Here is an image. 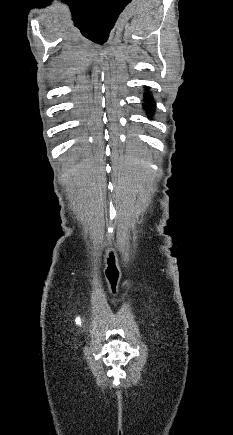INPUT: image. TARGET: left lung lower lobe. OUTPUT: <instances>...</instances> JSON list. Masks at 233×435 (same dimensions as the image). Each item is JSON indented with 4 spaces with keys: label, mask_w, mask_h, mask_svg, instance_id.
Here are the masks:
<instances>
[{
    "label": "left lung lower lobe",
    "mask_w": 233,
    "mask_h": 435,
    "mask_svg": "<svg viewBox=\"0 0 233 435\" xmlns=\"http://www.w3.org/2000/svg\"><path fill=\"white\" fill-rule=\"evenodd\" d=\"M143 99L145 101L143 103V108L146 111L147 116L151 117L153 115V110H154V100H153V97L149 93L145 92L144 96H143Z\"/></svg>",
    "instance_id": "0a47b994"
}]
</instances>
